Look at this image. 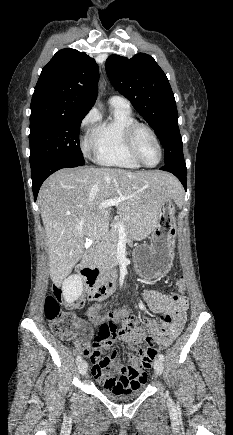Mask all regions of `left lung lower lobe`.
Segmentation results:
<instances>
[{"label": "left lung lower lobe", "mask_w": 233, "mask_h": 435, "mask_svg": "<svg viewBox=\"0 0 233 435\" xmlns=\"http://www.w3.org/2000/svg\"><path fill=\"white\" fill-rule=\"evenodd\" d=\"M160 170L168 171L170 173H173L183 184L184 188L186 189V164L183 158H179L171 163L166 164Z\"/></svg>", "instance_id": "1"}]
</instances>
